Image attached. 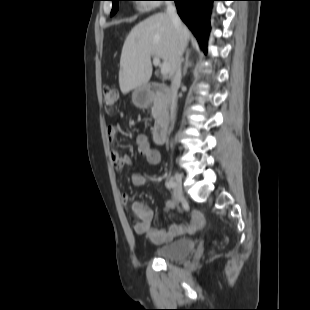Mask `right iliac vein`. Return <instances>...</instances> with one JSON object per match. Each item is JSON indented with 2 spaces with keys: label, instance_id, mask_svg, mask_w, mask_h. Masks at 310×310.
<instances>
[{
  "label": "right iliac vein",
  "instance_id": "obj_1",
  "mask_svg": "<svg viewBox=\"0 0 310 310\" xmlns=\"http://www.w3.org/2000/svg\"><path fill=\"white\" fill-rule=\"evenodd\" d=\"M172 180L175 183L174 197L178 202H180L184 199L183 190H182V180H181L180 174L178 172H175L174 176L172 177Z\"/></svg>",
  "mask_w": 310,
  "mask_h": 310
}]
</instances>
